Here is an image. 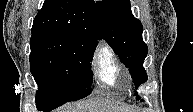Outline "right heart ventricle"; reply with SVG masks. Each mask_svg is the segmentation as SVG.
Segmentation results:
<instances>
[{"mask_svg": "<svg viewBox=\"0 0 193 112\" xmlns=\"http://www.w3.org/2000/svg\"><path fill=\"white\" fill-rule=\"evenodd\" d=\"M93 70L97 79L109 86L116 87L122 77V65L115 50L109 44H101L96 50Z\"/></svg>", "mask_w": 193, "mask_h": 112, "instance_id": "right-heart-ventricle-1", "label": "right heart ventricle"}]
</instances>
